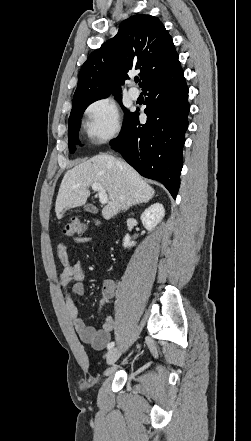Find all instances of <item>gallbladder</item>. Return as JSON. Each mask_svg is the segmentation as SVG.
Segmentation results:
<instances>
[{
  "instance_id": "1",
  "label": "gallbladder",
  "mask_w": 251,
  "mask_h": 441,
  "mask_svg": "<svg viewBox=\"0 0 251 441\" xmlns=\"http://www.w3.org/2000/svg\"><path fill=\"white\" fill-rule=\"evenodd\" d=\"M84 210L87 212H91V213H97V209L95 206L91 205V204H87L84 206Z\"/></svg>"
}]
</instances>
